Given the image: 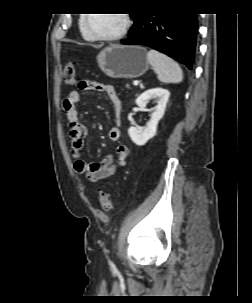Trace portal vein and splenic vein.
<instances>
[{"mask_svg": "<svg viewBox=\"0 0 252 303\" xmlns=\"http://www.w3.org/2000/svg\"><path fill=\"white\" fill-rule=\"evenodd\" d=\"M138 84H139V81H137V80L133 82L134 86H137Z\"/></svg>", "mask_w": 252, "mask_h": 303, "instance_id": "obj_1", "label": "portal vein and splenic vein"}]
</instances>
